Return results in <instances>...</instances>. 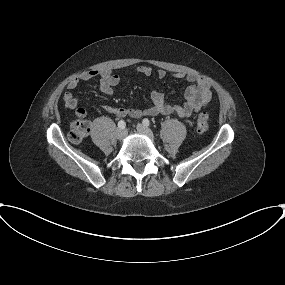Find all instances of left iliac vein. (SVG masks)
Listing matches in <instances>:
<instances>
[{"mask_svg":"<svg viewBox=\"0 0 285 285\" xmlns=\"http://www.w3.org/2000/svg\"><path fill=\"white\" fill-rule=\"evenodd\" d=\"M136 129L140 134L145 135L149 139L153 140L154 137H153L152 131L148 127H146L145 125L139 123V124H137Z\"/></svg>","mask_w":285,"mask_h":285,"instance_id":"obj_1","label":"left iliac vein"}]
</instances>
